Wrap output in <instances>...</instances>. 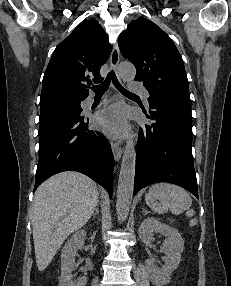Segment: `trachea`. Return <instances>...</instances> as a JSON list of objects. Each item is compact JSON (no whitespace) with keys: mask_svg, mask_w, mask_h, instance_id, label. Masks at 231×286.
I'll return each instance as SVG.
<instances>
[{"mask_svg":"<svg viewBox=\"0 0 231 286\" xmlns=\"http://www.w3.org/2000/svg\"><path fill=\"white\" fill-rule=\"evenodd\" d=\"M114 84V86L116 87V89L122 93L123 95H129V96H136L135 94L129 92L128 90H126L117 80V77L114 73V71H111L110 73H108L105 81L103 83H101L100 85H96L92 87V90L95 92V95H103L109 88L110 83Z\"/></svg>","mask_w":231,"mask_h":286,"instance_id":"3493384b","label":"trachea"}]
</instances>
